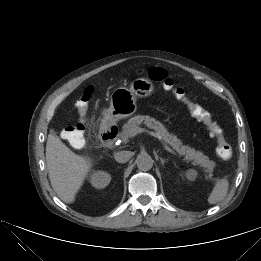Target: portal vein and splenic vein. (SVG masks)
<instances>
[{"instance_id":"obj_1","label":"portal vein and splenic vein","mask_w":261,"mask_h":261,"mask_svg":"<svg viewBox=\"0 0 261 261\" xmlns=\"http://www.w3.org/2000/svg\"><path fill=\"white\" fill-rule=\"evenodd\" d=\"M143 132H147L149 133L150 135L156 137L160 142L161 144L163 145L164 149L167 150L169 153L175 155V156H179L175 151H173L169 146H167L162 140H161V137L158 136L156 133L154 132H150V131H147L146 129L144 128H139V127H136V128H133L131 131H130V137H134L136 136L137 134L139 133H143Z\"/></svg>"}]
</instances>
